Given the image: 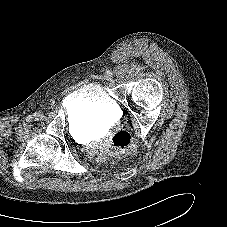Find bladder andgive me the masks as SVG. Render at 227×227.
Masks as SVG:
<instances>
[{
    "instance_id": "1",
    "label": "bladder",
    "mask_w": 227,
    "mask_h": 227,
    "mask_svg": "<svg viewBox=\"0 0 227 227\" xmlns=\"http://www.w3.org/2000/svg\"><path fill=\"white\" fill-rule=\"evenodd\" d=\"M65 106L72 123L79 128L110 125L121 113L117 101L99 83H89L71 92Z\"/></svg>"
}]
</instances>
